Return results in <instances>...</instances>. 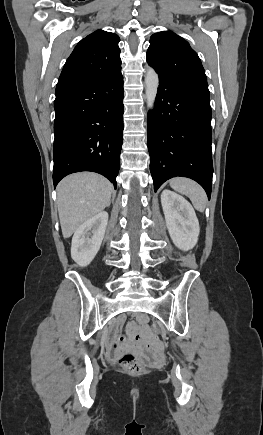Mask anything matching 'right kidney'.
<instances>
[{"instance_id":"right-kidney-1","label":"right kidney","mask_w":263,"mask_h":435,"mask_svg":"<svg viewBox=\"0 0 263 435\" xmlns=\"http://www.w3.org/2000/svg\"><path fill=\"white\" fill-rule=\"evenodd\" d=\"M108 213L102 211L81 224L72 238L71 256L80 266H87L96 256L105 235Z\"/></svg>"}]
</instances>
